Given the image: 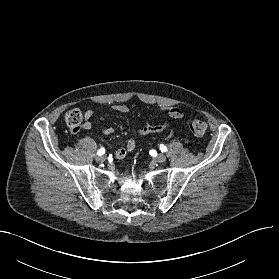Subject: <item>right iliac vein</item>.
I'll use <instances>...</instances> for the list:
<instances>
[{
    "label": "right iliac vein",
    "mask_w": 279,
    "mask_h": 279,
    "mask_svg": "<svg viewBox=\"0 0 279 279\" xmlns=\"http://www.w3.org/2000/svg\"><path fill=\"white\" fill-rule=\"evenodd\" d=\"M96 159L100 162H103L106 160V156L105 155H100V156H97Z\"/></svg>",
    "instance_id": "63e3f726"
}]
</instances>
